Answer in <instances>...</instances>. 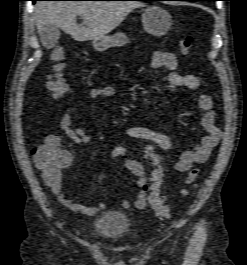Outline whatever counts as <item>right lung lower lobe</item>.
Instances as JSON below:
<instances>
[{
  "instance_id": "obj_1",
  "label": "right lung lower lobe",
  "mask_w": 247,
  "mask_h": 265,
  "mask_svg": "<svg viewBox=\"0 0 247 265\" xmlns=\"http://www.w3.org/2000/svg\"><path fill=\"white\" fill-rule=\"evenodd\" d=\"M31 1L35 2V1H39V0H31ZM138 1H143V0H138Z\"/></svg>"
}]
</instances>
